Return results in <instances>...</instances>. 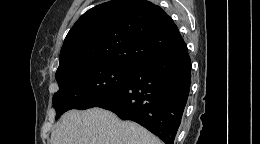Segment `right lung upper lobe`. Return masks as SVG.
<instances>
[{
    "mask_svg": "<svg viewBox=\"0 0 260 144\" xmlns=\"http://www.w3.org/2000/svg\"><path fill=\"white\" fill-rule=\"evenodd\" d=\"M184 43L164 10L146 0H113L84 13L63 43L56 75L105 64L133 67Z\"/></svg>",
    "mask_w": 260,
    "mask_h": 144,
    "instance_id": "right-lung-upper-lobe-1",
    "label": "right lung upper lobe"
}]
</instances>
